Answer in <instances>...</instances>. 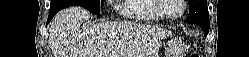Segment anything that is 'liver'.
Segmentation results:
<instances>
[{
  "label": "liver",
  "instance_id": "6515ba94",
  "mask_svg": "<svg viewBox=\"0 0 249 57\" xmlns=\"http://www.w3.org/2000/svg\"><path fill=\"white\" fill-rule=\"evenodd\" d=\"M90 13L78 6L59 11L50 26L55 57H158L166 31L131 22H102L88 29L80 25Z\"/></svg>",
  "mask_w": 249,
  "mask_h": 57
}]
</instances>
